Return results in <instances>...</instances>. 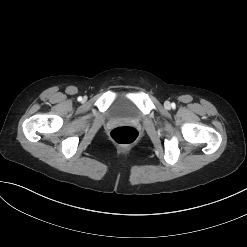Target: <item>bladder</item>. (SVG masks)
Here are the masks:
<instances>
[{
  "label": "bladder",
  "instance_id": "31cf9c89",
  "mask_svg": "<svg viewBox=\"0 0 247 247\" xmlns=\"http://www.w3.org/2000/svg\"><path fill=\"white\" fill-rule=\"evenodd\" d=\"M108 112L109 116L112 118H137L139 116L137 105L128 96V92L126 91L117 93Z\"/></svg>",
  "mask_w": 247,
  "mask_h": 247
}]
</instances>
